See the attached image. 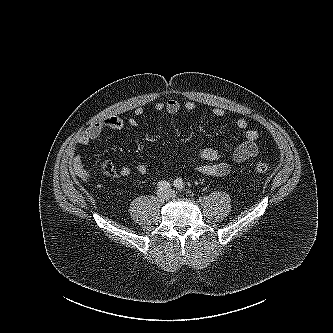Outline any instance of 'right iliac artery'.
<instances>
[{
	"label": "right iliac artery",
	"mask_w": 333,
	"mask_h": 333,
	"mask_svg": "<svg viewBox=\"0 0 333 333\" xmlns=\"http://www.w3.org/2000/svg\"><path fill=\"white\" fill-rule=\"evenodd\" d=\"M157 186L160 190H166V189L170 188V183L167 181H161L158 183Z\"/></svg>",
	"instance_id": "1"
}]
</instances>
